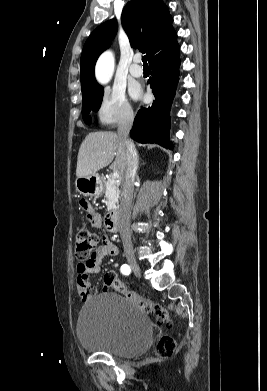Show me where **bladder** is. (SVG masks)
<instances>
[{
    "mask_svg": "<svg viewBox=\"0 0 267 391\" xmlns=\"http://www.w3.org/2000/svg\"><path fill=\"white\" fill-rule=\"evenodd\" d=\"M77 336L86 350L135 357L150 347L153 325L136 303L109 292L91 298L81 308Z\"/></svg>",
    "mask_w": 267,
    "mask_h": 391,
    "instance_id": "bladder-1",
    "label": "bladder"
}]
</instances>
